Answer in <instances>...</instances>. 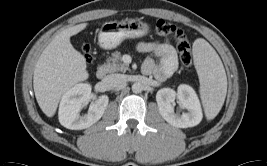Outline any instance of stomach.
Instances as JSON below:
<instances>
[{
    "instance_id": "0dacf381",
    "label": "stomach",
    "mask_w": 267,
    "mask_h": 166,
    "mask_svg": "<svg viewBox=\"0 0 267 166\" xmlns=\"http://www.w3.org/2000/svg\"><path fill=\"white\" fill-rule=\"evenodd\" d=\"M148 31V24L138 19L106 22L99 33L98 42L101 48L110 50L118 47L125 39L140 38Z\"/></svg>"
}]
</instances>
